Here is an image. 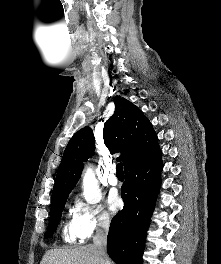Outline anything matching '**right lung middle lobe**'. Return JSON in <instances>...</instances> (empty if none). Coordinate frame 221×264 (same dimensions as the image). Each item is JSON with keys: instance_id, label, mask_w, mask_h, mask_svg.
Instances as JSON below:
<instances>
[{"instance_id": "obj_1", "label": "right lung middle lobe", "mask_w": 221, "mask_h": 264, "mask_svg": "<svg viewBox=\"0 0 221 264\" xmlns=\"http://www.w3.org/2000/svg\"><path fill=\"white\" fill-rule=\"evenodd\" d=\"M68 196L69 193L51 200L50 220L47 232L44 235L45 238L50 237L55 232Z\"/></svg>"}]
</instances>
